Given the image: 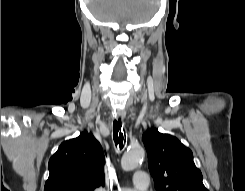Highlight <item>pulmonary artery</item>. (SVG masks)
Listing matches in <instances>:
<instances>
[{
    "instance_id": "pulmonary-artery-1",
    "label": "pulmonary artery",
    "mask_w": 245,
    "mask_h": 191,
    "mask_svg": "<svg viewBox=\"0 0 245 191\" xmlns=\"http://www.w3.org/2000/svg\"><path fill=\"white\" fill-rule=\"evenodd\" d=\"M150 178L147 172L140 170L133 175V187L121 188L119 191H146L149 187Z\"/></svg>"
}]
</instances>
